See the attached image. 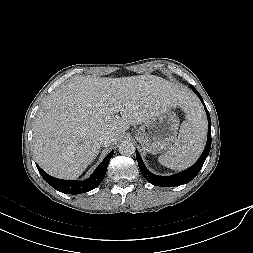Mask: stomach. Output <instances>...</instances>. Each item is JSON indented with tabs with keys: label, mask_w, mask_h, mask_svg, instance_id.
<instances>
[{
	"label": "stomach",
	"mask_w": 253,
	"mask_h": 253,
	"mask_svg": "<svg viewBox=\"0 0 253 253\" xmlns=\"http://www.w3.org/2000/svg\"><path fill=\"white\" fill-rule=\"evenodd\" d=\"M178 126L179 120L174 112L161 110L138 128L136 138L147 152L159 153L170 148L175 141Z\"/></svg>",
	"instance_id": "1"
}]
</instances>
